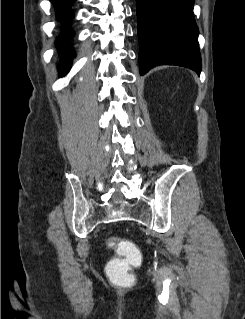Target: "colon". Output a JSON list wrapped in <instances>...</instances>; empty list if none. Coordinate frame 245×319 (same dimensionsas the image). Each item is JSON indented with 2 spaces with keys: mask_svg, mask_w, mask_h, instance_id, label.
I'll use <instances>...</instances> for the list:
<instances>
[{
  "mask_svg": "<svg viewBox=\"0 0 245 319\" xmlns=\"http://www.w3.org/2000/svg\"><path fill=\"white\" fill-rule=\"evenodd\" d=\"M107 246L114 249L118 255L122 256L127 261V263L116 262L108 265L110 276L122 280L128 269L127 264H135L139 261L136 248L130 241L117 237L109 239L107 241Z\"/></svg>",
  "mask_w": 245,
  "mask_h": 319,
  "instance_id": "5ec220e1",
  "label": "colon"
}]
</instances>
